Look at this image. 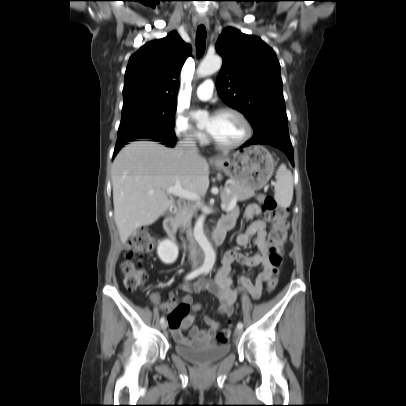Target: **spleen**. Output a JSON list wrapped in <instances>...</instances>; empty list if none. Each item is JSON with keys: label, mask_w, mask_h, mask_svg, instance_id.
<instances>
[{"label": "spleen", "mask_w": 406, "mask_h": 406, "mask_svg": "<svg viewBox=\"0 0 406 406\" xmlns=\"http://www.w3.org/2000/svg\"><path fill=\"white\" fill-rule=\"evenodd\" d=\"M275 201L283 208L291 205L293 198V177L285 164L280 165L276 173Z\"/></svg>", "instance_id": "spleen-1"}]
</instances>
